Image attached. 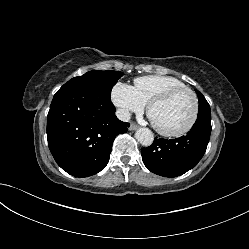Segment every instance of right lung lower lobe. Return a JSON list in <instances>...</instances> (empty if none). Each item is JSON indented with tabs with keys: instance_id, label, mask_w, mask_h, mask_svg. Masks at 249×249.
<instances>
[{
	"instance_id": "98d812e1",
	"label": "right lung lower lobe",
	"mask_w": 249,
	"mask_h": 249,
	"mask_svg": "<svg viewBox=\"0 0 249 249\" xmlns=\"http://www.w3.org/2000/svg\"><path fill=\"white\" fill-rule=\"evenodd\" d=\"M115 111L110 99L92 89L75 85L59 89L47 116V138L64 171L87 177L105 168L115 137L130 126Z\"/></svg>"
}]
</instances>
